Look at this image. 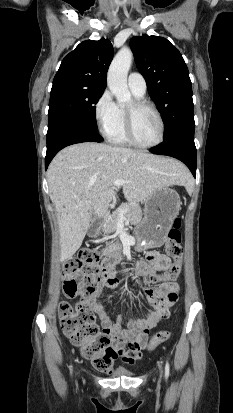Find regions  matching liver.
<instances>
[{
	"label": "liver",
	"mask_w": 233,
	"mask_h": 413,
	"mask_svg": "<svg viewBox=\"0 0 233 413\" xmlns=\"http://www.w3.org/2000/svg\"><path fill=\"white\" fill-rule=\"evenodd\" d=\"M187 175L176 160L124 147L85 142L61 150L47 171L59 225L60 260L81 247L92 215L103 217L118 198L113 181L124 180V197L137 203L158 188L183 184Z\"/></svg>",
	"instance_id": "6515ba94"
}]
</instances>
